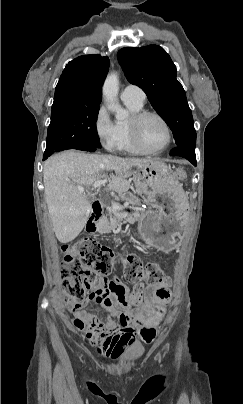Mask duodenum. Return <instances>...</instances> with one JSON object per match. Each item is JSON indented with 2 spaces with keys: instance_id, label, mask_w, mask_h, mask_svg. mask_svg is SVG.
I'll list each match as a JSON object with an SVG mask.
<instances>
[{
  "instance_id": "obj_1",
  "label": "duodenum",
  "mask_w": 243,
  "mask_h": 404,
  "mask_svg": "<svg viewBox=\"0 0 243 404\" xmlns=\"http://www.w3.org/2000/svg\"><path fill=\"white\" fill-rule=\"evenodd\" d=\"M103 211V204L101 201H94L92 204L91 217L87 224V231L92 233L96 230V222Z\"/></svg>"
}]
</instances>
